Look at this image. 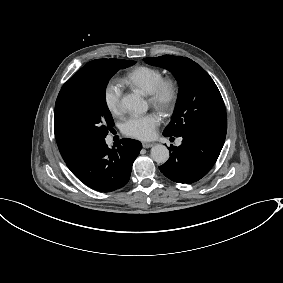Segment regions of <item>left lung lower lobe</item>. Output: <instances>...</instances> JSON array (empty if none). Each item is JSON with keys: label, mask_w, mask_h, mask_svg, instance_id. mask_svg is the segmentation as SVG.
<instances>
[{"label": "left lung lower lobe", "mask_w": 283, "mask_h": 283, "mask_svg": "<svg viewBox=\"0 0 283 283\" xmlns=\"http://www.w3.org/2000/svg\"><path fill=\"white\" fill-rule=\"evenodd\" d=\"M179 147H170V158L160 171L170 180L190 184L204 177L215 164L225 136L183 134Z\"/></svg>", "instance_id": "1"}]
</instances>
